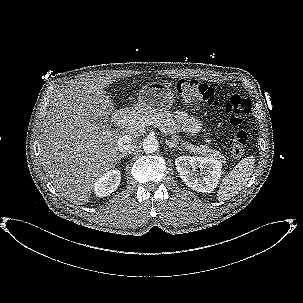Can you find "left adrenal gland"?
I'll return each mask as SVG.
<instances>
[{"label": "left adrenal gland", "instance_id": "1", "mask_svg": "<svg viewBox=\"0 0 303 303\" xmlns=\"http://www.w3.org/2000/svg\"><path fill=\"white\" fill-rule=\"evenodd\" d=\"M165 143L166 145L169 147V148H177V149H180V147L178 145H176L175 143L173 142H170L169 140H165Z\"/></svg>", "mask_w": 303, "mask_h": 303}]
</instances>
